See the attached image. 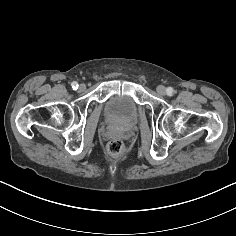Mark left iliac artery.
<instances>
[{
  "mask_svg": "<svg viewBox=\"0 0 236 236\" xmlns=\"http://www.w3.org/2000/svg\"><path fill=\"white\" fill-rule=\"evenodd\" d=\"M166 93H167L168 96H172L173 93H174L173 88L172 87H168L167 90H166Z\"/></svg>",
  "mask_w": 236,
  "mask_h": 236,
  "instance_id": "44dca946",
  "label": "left iliac artery"
}]
</instances>
